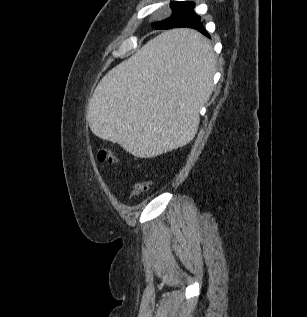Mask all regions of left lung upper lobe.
Returning a JSON list of instances; mask_svg holds the SVG:
<instances>
[{"instance_id":"1","label":"left lung upper lobe","mask_w":307,"mask_h":317,"mask_svg":"<svg viewBox=\"0 0 307 317\" xmlns=\"http://www.w3.org/2000/svg\"><path fill=\"white\" fill-rule=\"evenodd\" d=\"M194 7L195 4L193 2L173 1L171 5L172 15L163 21L168 22L171 28L178 27L196 15Z\"/></svg>"}]
</instances>
